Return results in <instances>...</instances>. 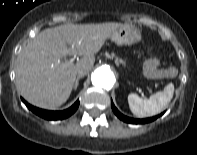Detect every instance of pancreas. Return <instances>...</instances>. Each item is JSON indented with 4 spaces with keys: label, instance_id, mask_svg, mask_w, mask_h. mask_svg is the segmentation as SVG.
Here are the masks:
<instances>
[{
    "label": "pancreas",
    "instance_id": "obj_1",
    "mask_svg": "<svg viewBox=\"0 0 197 155\" xmlns=\"http://www.w3.org/2000/svg\"><path fill=\"white\" fill-rule=\"evenodd\" d=\"M110 56H111V57H115V55H114V54H111ZM116 62H117V64L125 65V62H124L122 59H118V58H116Z\"/></svg>",
    "mask_w": 197,
    "mask_h": 155
}]
</instances>
